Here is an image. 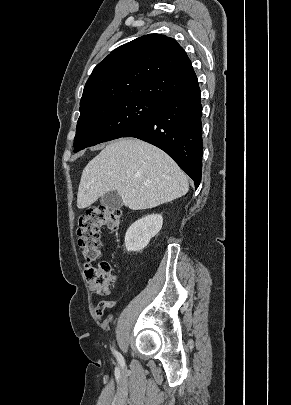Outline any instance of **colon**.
Listing matches in <instances>:
<instances>
[{
  "label": "colon",
  "mask_w": 291,
  "mask_h": 405,
  "mask_svg": "<svg viewBox=\"0 0 291 405\" xmlns=\"http://www.w3.org/2000/svg\"><path fill=\"white\" fill-rule=\"evenodd\" d=\"M122 220L121 212L117 209L94 207L80 217L77 229L78 245L85 264V275L90 289L98 295H107L116 276L111 265L101 261L97 266L101 254V229L115 231Z\"/></svg>",
  "instance_id": "colon-1"
}]
</instances>
